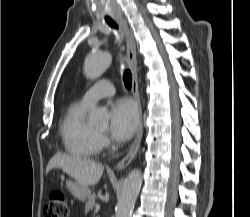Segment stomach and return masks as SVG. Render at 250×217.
Returning <instances> with one entry per match:
<instances>
[{
    "mask_svg": "<svg viewBox=\"0 0 250 217\" xmlns=\"http://www.w3.org/2000/svg\"><path fill=\"white\" fill-rule=\"evenodd\" d=\"M66 185L71 194L81 202H85L91 196V190L89 187L81 186L77 182L71 180H68Z\"/></svg>",
    "mask_w": 250,
    "mask_h": 217,
    "instance_id": "0dacf381",
    "label": "stomach"
}]
</instances>
